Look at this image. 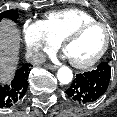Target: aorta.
I'll use <instances>...</instances> for the list:
<instances>
[{
    "mask_svg": "<svg viewBox=\"0 0 117 117\" xmlns=\"http://www.w3.org/2000/svg\"><path fill=\"white\" fill-rule=\"evenodd\" d=\"M57 78L61 84H69L73 79L72 70L66 66L61 67L57 72Z\"/></svg>",
    "mask_w": 117,
    "mask_h": 117,
    "instance_id": "1",
    "label": "aorta"
}]
</instances>
